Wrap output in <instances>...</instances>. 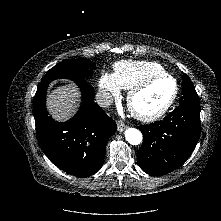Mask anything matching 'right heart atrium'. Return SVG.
Instances as JSON below:
<instances>
[{"label":"right heart atrium","mask_w":221,"mask_h":221,"mask_svg":"<svg viewBox=\"0 0 221 221\" xmlns=\"http://www.w3.org/2000/svg\"><path fill=\"white\" fill-rule=\"evenodd\" d=\"M98 85L101 91L112 97H117L120 94V88L112 74L102 73L99 78Z\"/></svg>","instance_id":"right-heart-atrium-1"}]
</instances>
